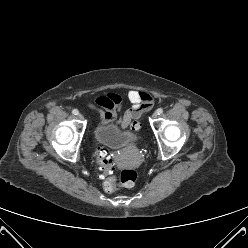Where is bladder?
Listing matches in <instances>:
<instances>
[{"instance_id":"obj_1","label":"bladder","mask_w":248,"mask_h":248,"mask_svg":"<svg viewBox=\"0 0 248 248\" xmlns=\"http://www.w3.org/2000/svg\"><path fill=\"white\" fill-rule=\"evenodd\" d=\"M94 139L109 148L120 149L130 145L137 134L129 130H123L112 123L99 124L93 133Z\"/></svg>"}]
</instances>
